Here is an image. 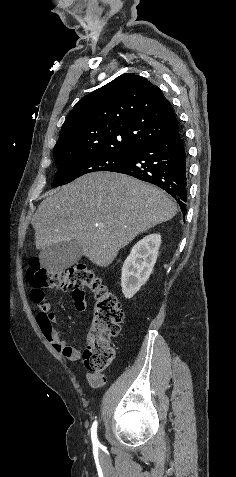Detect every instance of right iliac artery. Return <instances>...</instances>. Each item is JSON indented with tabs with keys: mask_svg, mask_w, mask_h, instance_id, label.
<instances>
[{
	"mask_svg": "<svg viewBox=\"0 0 236 477\" xmlns=\"http://www.w3.org/2000/svg\"><path fill=\"white\" fill-rule=\"evenodd\" d=\"M91 439L93 446L98 447L100 445L98 438H97V421L95 420L92 427H91Z\"/></svg>",
	"mask_w": 236,
	"mask_h": 477,
	"instance_id": "obj_1",
	"label": "right iliac artery"
}]
</instances>
